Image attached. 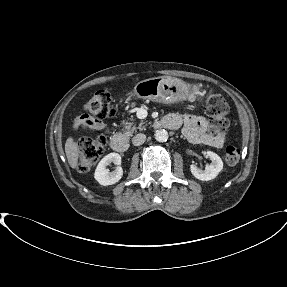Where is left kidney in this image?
<instances>
[{
  "mask_svg": "<svg viewBox=\"0 0 287 287\" xmlns=\"http://www.w3.org/2000/svg\"><path fill=\"white\" fill-rule=\"evenodd\" d=\"M211 159V163L204 169L198 168L196 165H191L190 170L193 176L202 181L214 179L223 169L222 159L214 152H205Z\"/></svg>",
  "mask_w": 287,
  "mask_h": 287,
  "instance_id": "5707ae66",
  "label": "left kidney"
}]
</instances>
